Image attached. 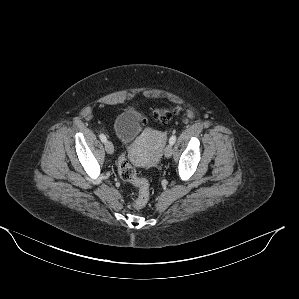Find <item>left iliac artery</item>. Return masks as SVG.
<instances>
[{"mask_svg": "<svg viewBox=\"0 0 299 299\" xmlns=\"http://www.w3.org/2000/svg\"><path fill=\"white\" fill-rule=\"evenodd\" d=\"M175 141H176V136H171L169 139V143L173 145Z\"/></svg>", "mask_w": 299, "mask_h": 299, "instance_id": "obj_1", "label": "left iliac artery"}]
</instances>
